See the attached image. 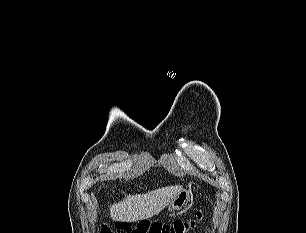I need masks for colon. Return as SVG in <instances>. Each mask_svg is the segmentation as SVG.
Returning a JSON list of instances; mask_svg holds the SVG:
<instances>
[{"label": "colon", "instance_id": "colon-1", "mask_svg": "<svg viewBox=\"0 0 306 233\" xmlns=\"http://www.w3.org/2000/svg\"><path fill=\"white\" fill-rule=\"evenodd\" d=\"M203 220V212L197 211L191 219L170 224L139 223L132 226L127 223H118L114 227L102 225L100 233H189L201 224Z\"/></svg>", "mask_w": 306, "mask_h": 233}]
</instances>
